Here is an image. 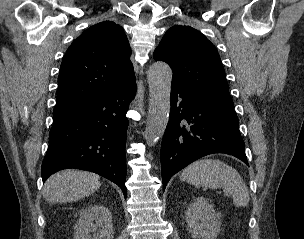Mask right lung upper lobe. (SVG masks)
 I'll use <instances>...</instances> for the list:
<instances>
[{
    "label": "right lung upper lobe",
    "mask_w": 304,
    "mask_h": 239,
    "mask_svg": "<svg viewBox=\"0 0 304 239\" xmlns=\"http://www.w3.org/2000/svg\"><path fill=\"white\" fill-rule=\"evenodd\" d=\"M131 49L121 26L112 21L85 30L61 63L53 114L82 105L134 78Z\"/></svg>",
    "instance_id": "1"
}]
</instances>
